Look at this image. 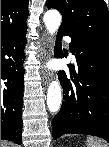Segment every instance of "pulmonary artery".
Wrapping results in <instances>:
<instances>
[{
  "label": "pulmonary artery",
  "instance_id": "e3ab8cb5",
  "mask_svg": "<svg viewBox=\"0 0 109 147\" xmlns=\"http://www.w3.org/2000/svg\"><path fill=\"white\" fill-rule=\"evenodd\" d=\"M66 42L70 43L71 42V39L70 38H65ZM72 56H74V53H72Z\"/></svg>",
  "mask_w": 109,
  "mask_h": 147
}]
</instances>
